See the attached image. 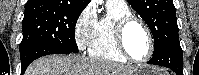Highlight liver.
I'll return each instance as SVG.
<instances>
[{"instance_id":"liver-1","label":"liver","mask_w":199,"mask_h":75,"mask_svg":"<svg viewBox=\"0 0 199 75\" xmlns=\"http://www.w3.org/2000/svg\"><path fill=\"white\" fill-rule=\"evenodd\" d=\"M135 68L80 55H50L32 62L25 75H130Z\"/></svg>"}]
</instances>
